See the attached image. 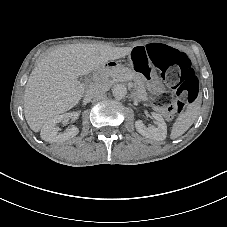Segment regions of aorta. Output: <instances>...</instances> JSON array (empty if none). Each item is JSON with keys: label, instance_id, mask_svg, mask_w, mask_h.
<instances>
[{"label": "aorta", "instance_id": "aorta-1", "mask_svg": "<svg viewBox=\"0 0 227 227\" xmlns=\"http://www.w3.org/2000/svg\"><path fill=\"white\" fill-rule=\"evenodd\" d=\"M112 94L116 99H123L127 95V88L123 84H116L112 88Z\"/></svg>", "mask_w": 227, "mask_h": 227}]
</instances>
